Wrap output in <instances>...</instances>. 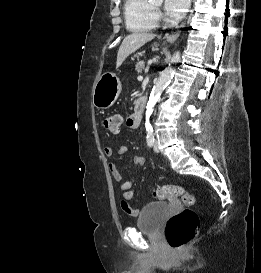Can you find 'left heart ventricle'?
<instances>
[{"instance_id":"left-heart-ventricle-1","label":"left heart ventricle","mask_w":261,"mask_h":273,"mask_svg":"<svg viewBox=\"0 0 261 273\" xmlns=\"http://www.w3.org/2000/svg\"><path fill=\"white\" fill-rule=\"evenodd\" d=\"M154 5H155L156 7H158V6L160 5V3H155Z\"/></svg>"}]
</instances>
